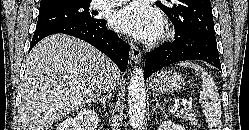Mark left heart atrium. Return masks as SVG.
Segmentation results:
<instances>
[{"instance_id":"39dd6f15","label":"left heart atrium","mask_w":249,"mask_h":130,"mask_svg":"<svg viewBox=\"0 0 249 130\" xmlns=\"http://www.w3.org/2000/svg\"><path fill=\"white\" fill-rule=\"evenodd\" d=\"M111 24L116 30L144 41L156 38L162 28L158 11L143 0H135L115 11Z\"/></svg>"}]
</instances>
